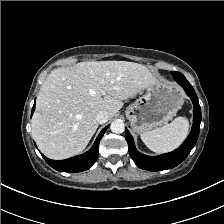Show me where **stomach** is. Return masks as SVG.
Masks as SVG:
<instances>
[{
	"label": "stomach",
	"mask_w": 224,
	"mask_h": 224,
	"mask_svg": "<svg viewBox=\"0 0 224 224\" xmlns=\"http://www.w3.org/2000/svg\"><path fill=\"white\" fill-rule=\"evenodd\" d=\"M183 98L177 85L157 80L126 108L125 114L132 129L142 134L171 120L181 108Z\"/></svg>",
	"instance_id": "0dacf381"
}]
</instances>
